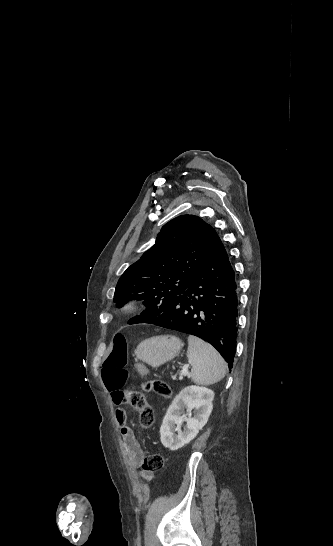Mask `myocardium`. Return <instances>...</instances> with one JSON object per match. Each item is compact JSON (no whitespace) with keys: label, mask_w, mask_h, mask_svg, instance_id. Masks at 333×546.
Segmentation results:
<instances>
[{"label":"myocardium","mask_w":333,"mask_h":546,"mask_svg":"<svg viewBox=\"0 0 333 546\" xmlns=\"http://www.w3.org/2000/svg\"><path fill=\"white\" fill-rule=\"evenodd\" d=\"M140 308L141 302L137 299H131L121 306L120 312L125 316L132 315L136 313Z\"/></svg>","instance_id":"f54148a6"}]
</instances>
